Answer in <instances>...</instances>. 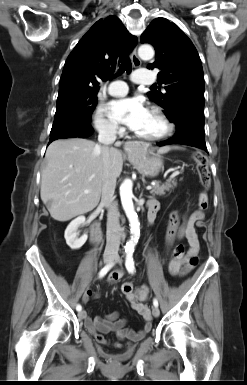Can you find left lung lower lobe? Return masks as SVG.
I'll return each instance as SVG.
<instances>
[{
	"label": "left lung lower lobe",
	"instance_id": "0a47b994",
	"mask_svg": "<svg viewBox=\"0 0 247 385\" xmlns=\"http://www.w3.org/2000/svg\"><path fill=\"white\" fill-rule=\"evenodd\" d=\"M172 122L177 127L175 136L157 143L158 146L185 144L203 150L207 149L204 135V114L184 112L180 113Z\"/></svg>",
	"mask_w": 247,
	"mask_h": 385
}]
</instances>
